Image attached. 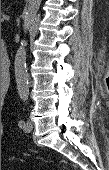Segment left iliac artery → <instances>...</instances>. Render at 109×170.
Wrapping results in <instances>:
<instances>
[{"instance_id":"left-iliac-artery-1","label":"left iliac artery","mask_w":109,"mask_h":170,"mask_svg":"<svg viewBox=\"0 0 109 170\" xmlns=\"http://www.w3.org/2000/svg\"><path fill=\"white\" fill-rule=\"evenodd\" d=\"M25 122L23 120H20L18 123V126L22 128L24 126Z\"/></svg>"}]
</instances>
